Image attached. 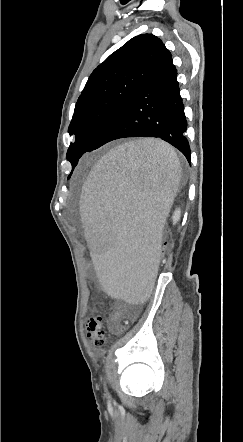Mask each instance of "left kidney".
I'll return each instance as SVG.
<instances>
[{"label":"left kidney","instance_id":"left-kidney-1","mask_svg":"<svg viewBox=\"0 0 243 442\" xmlns=\"http://www.w3.org/2000/svg\"><path fill=\"white\" fill-rule=\"evenodd\" d=\"M180 216H181V210L180 208H177L172 216L173 224H176L179 221Z\"/></svg>","mask_w":243,"mask_h":442}]
</instances>
